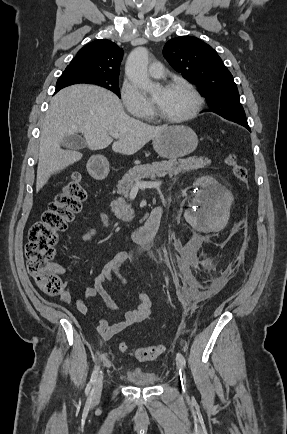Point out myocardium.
I'll return each instance as SVG.
<instances>
[{
  "instance_id": "f54148a6",
  "label": "myocardium",
  "mask_w": 287,
  "mask_h": 434,
  "mask_svg": "<svg viewBox=\"0 0 287 434\" xmlns=\"http://www.w3.org/2000/svg\"><path fill=\"white\" fill-rule=\"evenodd\" d=\"M174 87H181L186 89L193 98V106L190 109V111L180 117H168L161 113L157 105L154 103V112L157 118H159L161 121L170 123V124H182L185 123L194 117L200 112L202 105H203V99L198 90L188 81L183 79H174L170 80L165 83L164 89H170Z\"/></svg>"
}]
</instances>
